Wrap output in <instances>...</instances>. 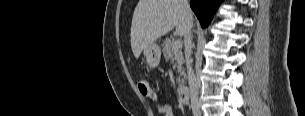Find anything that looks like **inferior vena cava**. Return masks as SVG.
<instances>
[{
	"instance_id": "inferior-vena-cava-1",
	"label": "inferior vena cava",
	"mask_w": 305,
	"mask_h": 116,
	"mask_svg": "<svg viewBox=\"0 0 305 116\" xmlns=\"http://www.w3.org/2000/svg\"><path fill=\"white\" fill-rule=\"evenodd\" d=\"M184 9L188 12L190 11V6L188 3V0H183ZM191 29H192V21L187 20L186 27H185V33H184V44H185V56H186V66H187V74H188V83H189V89H190V98H191V108L193 116H200V106L198 102V86L196 83V77L194 74V70L192 68V59H191V53H192V35H191Z\"/></svg>"
}]
</instances>
